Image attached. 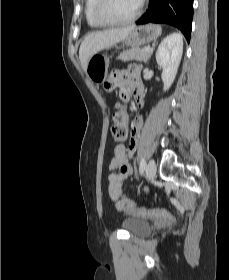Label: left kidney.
<instances>
[{
  "instance_id": "left-kidney-1",
  "label": "left kidney",
  "mask_w": 229,
  "mask_h": 280,
  "mask_svg": "<svg viewBox=\"0 0 229 280\" xmlns=\"http://www.w3.org/2000/svg\"><path fill=\"white\" fill-rule=\"evenodd\" d=\"M183 53V39L179 33L168 35L160 43L156 52L157 64L162 67L164 91L168 90L177 74Z\"/></svg>"
}]
</instances>
